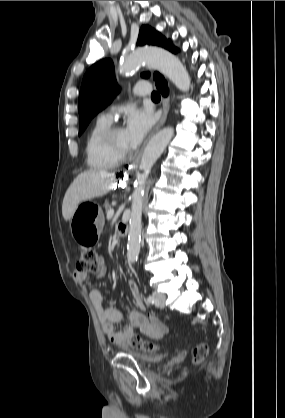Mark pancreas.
<instances>
[{"mask_svg": "<svg viewBox=\"0 0 285 418\" xmlns=\"http://www.w3.org/2000/svg\"><path fill=\"white\" fill-rule=\"evenodd\" d=\"M104 208H105L106 211H108L109 209H111V205L106 201L104 203Z\"/></svg>", "mask_w": 285, "mask_h": 418, "instance_id": "cf45deb5", "label": "pancreas"}]
</instances>
